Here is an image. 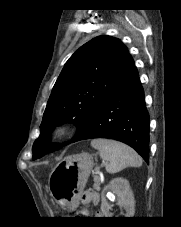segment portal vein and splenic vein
I'll return each mask as SVG.
<instances>
[{
  "mask_svg": "<svg viewBox=\"0 0 181 227\" xmlns=\"http://www.w3.org/2000/svg\"><path fill=\"white\" fill-rule=\"evenodd\" d=\"M99 173V170H96L95 174H98Z\"/></svg>",
  "mask_w": 181,
  "mask_h": 227,
  "instance_id": "1",
  "label": "portal vein and splenic vein"
}]
</instances>
